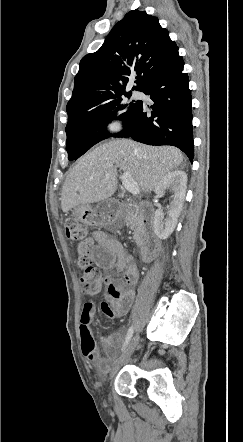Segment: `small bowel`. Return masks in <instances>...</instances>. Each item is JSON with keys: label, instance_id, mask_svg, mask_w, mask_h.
Returning <instances> with one entry per match:
<instances>
[{"label": "small bowel", "instance_id": "obj_1", "mask_svg": "<svg viewBox=\"0 0 243 442\" xmlns=\"http://www.w3.org/2000/svg\"><path fill=\"white\" fill-rule=\"evenodd\" d=\"M98 248L92 258L96 265L104 269H113L119 278L106 279L105 300L100 304L103 314L109 319H119L127 314L134 298V287L139 280L136 263L120 242L102 230L93 232ZM96 314V304L87 301L83 304L79 318L81 349L85 358L100 373H105L121 342L120 335L102 336L101 341L106 357L96 348L91 323Z\"/></svg>", "mask_w": 243, "mask_h": 442}]
</instances>
